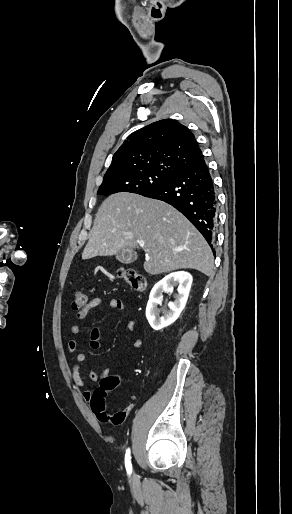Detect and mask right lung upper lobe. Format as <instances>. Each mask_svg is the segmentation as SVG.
Listing matches in <instances>:
<instances>
[{
    "mask_svg": "<svg viewBox=\"0 0 292 514\" xmlns=\"http://www.w3.org/2000/svg\"><path fill=\"white\" fill-rule=\"evenodd\" d=\"M204 162L193 133L171 119L154 122L127 137L113 155L104 178L180 170Z\"/></svg>",
    "mask_w": 292,
    "mask_h": 514,
    "instance_id": "obj_1",
    "label": "right lung upper lobe"
}]
</instances>
